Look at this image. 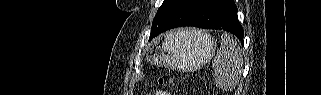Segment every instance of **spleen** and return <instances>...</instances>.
I'll use <instances>...</instances> for the list:
<instances>
[{
	"instance_id": "1",
	"label": "spleen",
	"mask_w": 321,
	"mask_h": 95,
	"mask_svg": "<svg viewBox=\"0 0 321 95\" xmlns=\"http://www.w3.org/2000/svg\"><path fill=\"white\" fill-rule=\"evenodd\" d=\"M242 65L243 57L239 43L230 34H222L221 45L212 62L216 86L225 91L234 89Z\"/></svg>"
}]
</instances>
